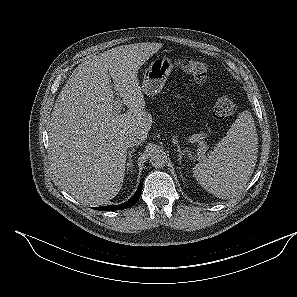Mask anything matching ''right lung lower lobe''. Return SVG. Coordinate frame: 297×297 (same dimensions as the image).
<instances>
[{
	"label": "right lung lower lobe",
	"instance_id": "right-lung-lower-lobe-1",
	"mask_svg": "<svg viewBox=\"0 0 297 297\" xmlns=\"http://www.w3.org/2000/svg\"><path fill=\"white\" fill-rule=\"evenodd\" d=\"M142 188H143V182H140L137 192L134 194V196L129 201H127L125 203H122L120 205L102 206V207H93V208L96 210H101V211L121 210V209L129 208V207L133 206L140 198Z\"/></svg>",
	"mask_w": 297,
	"mask_h": 297
}]
</instances>
